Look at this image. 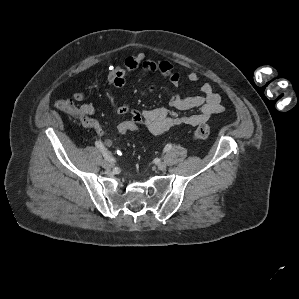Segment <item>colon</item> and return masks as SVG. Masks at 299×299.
I'll return each mask as SVG.
<instances>
[{"label":"colon","instance_id":"5ec220e1","mask_svg":"<svg viewBox=\"0 0 299 299\" xmlns=\"http://www.w3.org/2000/svg\"><path fill=\"white\" fill-rule=\"evenodd\" d=\"M55 106L61 112L78 119L85 126L90 123V118L82 111L81 107L77 106L70 99H60L56 101ZM140 128L141 126L135 119L129 118L118 123L116 132L120 136H127L137 132ZM210 134V127L206 124L199 125L193 131V137L198 140H205Z\"/></svg>","mask_w":299,"mask_h":299}]
</instances>
